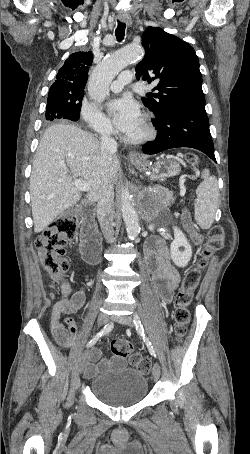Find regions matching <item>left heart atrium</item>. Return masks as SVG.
<instances>
[{"mask_svg": "<svg viewBox=\"0 0 250 454\" xmlns=\"http://www.w3.org/2000/svg\"><path fill=\"white\" fill-rule=\"evenodd\" d=\"M108 109L113 116L116 127L127 133L140 121V110L137 102L130 96H123L112 100Z\"/></svg>", "mask_w": 250, "mask_h": 454, "instance_id": "left-heart-atrium-1", "label": "left heart atrium"}]
</instances>
